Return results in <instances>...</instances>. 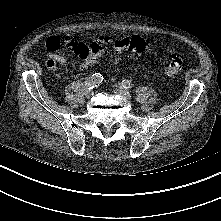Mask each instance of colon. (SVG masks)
<instances>
[{
	"label": "colon",
	"instance_id": "colon-1",
	"mask_svg": "<svg viewBox=\"0 0 221 221\" xmlns=\"http://www.w3.org/2000/svg\"><path fill=\"white\" fill-rule=\"evenodd\" d=\"M112 46L116 52H130L141 54L149 49L148 43L140 36H131L124 39H99L80 51V58L85 65L96 62ZM184 65V56L177 54L172 57L166 68V75L175 77L180 74Z\"/></svg>",
	"mask_w": 221,
	"mask_h": 221
}]
</instances>
